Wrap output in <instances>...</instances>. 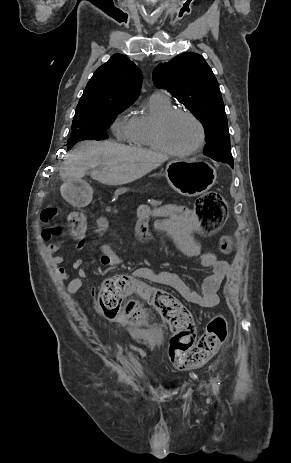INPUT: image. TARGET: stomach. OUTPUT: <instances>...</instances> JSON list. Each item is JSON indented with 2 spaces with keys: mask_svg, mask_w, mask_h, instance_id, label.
<instances>
[{
  "mask_svg": "<svg viewBox=\"0 0 291 463\" xmlns=\"http://www.w3.org/2000/svg\"><path fill=\"white\" fill-rule=\"evenodd\" d=\"M169 184L184 196H198L216 182L217 173L212 165L196 159H174L165 170ZM61 194L70 204L84 206L90 202V188L82 182H65Z\"/></svg>",
  "mask_w": 291,
  "mask_h": 463,
  "instance_id": "obj_1",
  "label": "stomach"
}]
</instances>
